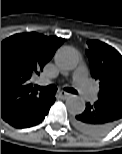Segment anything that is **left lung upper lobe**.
<instances>
[{"label":"left lung upper lobe","instance_id":"obj_1","mask_svg":"<svg viewBox=\"0 0 122 154\" xmlns=\"http://www.w3.org/2000/svg\"><path fill=\"white\" fill-rule=\"evenodd\" d=\"M86 51L91 76L100 82L99 98L122 96V56L113 47L98 40L88 42Z\"/></svg>","mask_w":122,"mask_h":154}]
</instances>
